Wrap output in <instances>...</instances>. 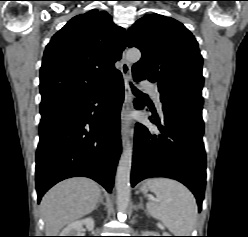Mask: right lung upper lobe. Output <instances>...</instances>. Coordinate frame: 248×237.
Listing matches in <instances>:
<instances>
[{"label":"right lung upper lobe","instance_id":"cb5924a9","mask_svg":"<svg viewBox=\"0 0 248 237\" xmlns=\"http://www.w3.org/2000/svg\"><path fill=\"white\" fill-rule=\"evenodd\" d=\"M126 33L105 11L72 18L46 46L40 70L41 103L84 95L119 76L114 63Z\"/></svg>","mask_w":248,"mask_h":237}]
</instances>
